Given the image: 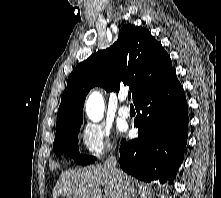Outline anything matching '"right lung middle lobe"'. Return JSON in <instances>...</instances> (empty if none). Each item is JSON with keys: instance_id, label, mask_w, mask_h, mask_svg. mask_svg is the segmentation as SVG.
<instances>
[{"instance_id": "dd1d6c3e", "label": "right lung middle lobe", "mask_w": 221, "mask_h": 198, "mask_svg": "<svg viewBox=\"0 0 221 198\" xmlns=\"http://www.w3.org/2000/svg\"><path fill=\"white\" fill-rule=\"evenodd\" d=\"M79 128L80 126L55 135L53 150L58 155L63 153L70 155L79 165H88L93 163L96 158L93 156H83L78 152V139L76 136L78 135Z\"/></svg>"}]
</instances>
